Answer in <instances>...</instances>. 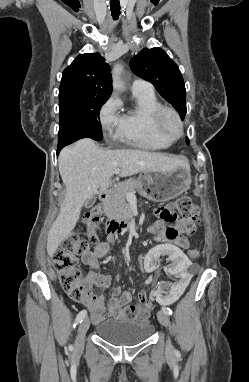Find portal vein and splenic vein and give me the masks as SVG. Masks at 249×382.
I'll list each match as a JSON object with an SVG mask.
<instances>
[{"label": "portal vein and splenic vein", "instance_id": "18ae733b", "mask_svg": "<svg viewBox=\"0 0 249 382\" xmlns=\"http://www.w3.org/2000/svg\"><path fill=\"white\" fill-rule=\"evenodd\" d=\"M119 172H120L119 169H116V170L114 171L115 174H119Z\"/></svg>", "mask_w": 249, "mask_h": 382}]
</instances>
